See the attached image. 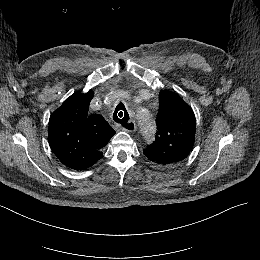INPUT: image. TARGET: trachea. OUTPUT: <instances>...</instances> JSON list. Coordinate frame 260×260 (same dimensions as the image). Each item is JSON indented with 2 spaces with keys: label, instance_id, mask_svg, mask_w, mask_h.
Masks as SVG:
<instances>
[{
  "label": "trachea",
  "instance_id": "trachea-1",
  "mask_svg": "<svg viewBox=\"0 0 260 260\" xmlns=\"http://www.w3.org/2000/svg\"><path fill=\"white\" fill-rule=\"evenodd\" d=\"M113 120L116 123H119L123 126L128 123L129 114L122 103L118 104L117 107L115 108V111L113 113Z\"/></svg>",
  "mask_w": 260,
  "mask_h": 260
}]
</instances>
